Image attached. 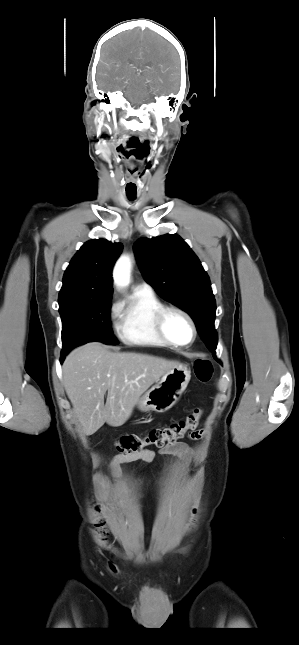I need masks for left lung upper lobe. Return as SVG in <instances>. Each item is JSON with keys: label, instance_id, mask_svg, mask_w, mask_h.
Returning a JSON list of instances; mask_svg holds the SVG:
<instances>
[{"label": "left lung upper lobe", "instance_id": "5c2ea615", "mask_svg": "<svg viewBox=\"0 0 299 645\" xmlns=\"http://www.w3.org/2000/svg\"><path fill=\"white\" fill-rule=\"evenodd\" d=\"M134 252L144 279L163 299L192 317L202 340L216 359V302L209 276L198 257L176 234L140 238L134 244Z\"/></svg>", "mask_w": 299, "mask_h": 645}]
</instances>
